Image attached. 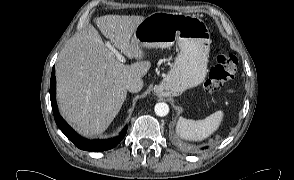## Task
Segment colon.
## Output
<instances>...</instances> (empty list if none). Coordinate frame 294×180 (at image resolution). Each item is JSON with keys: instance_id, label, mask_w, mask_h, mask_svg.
<instances>
[{"instance_id": "colon-1", "label": "colon", "mask_w": 294, "mask_h": 180, "mask_svg": "<svg viewBox=\"0 0 294 180\" xmlns=\"http://www.w3.org/2000/svg\"><path fill=\"white\" fill-rule=\"evenodd\" d=\"M217 64L210 70L205 82L206 92L213 94L221 90L223 83L235 77L237 72V58L229 53L217 50Z\"/></svg>"}]
</instances>
